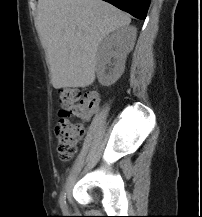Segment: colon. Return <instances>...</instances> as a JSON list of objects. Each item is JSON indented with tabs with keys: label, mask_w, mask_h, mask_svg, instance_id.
I'll return each instance as SVG.
<instances>
[{
	"label": "colon",
	"mask_w": 202,
	"mask_h": 217,
	"mask_svg": "<svg viewBox=\"0 0 202 217\" xmlns=\"http://www.w3.org/2000/svg\"><path fill=\"white\" fill-rule=\"evenodd\" d=\"M90 101V95L78 89L62 88L59 90V119L55 126L57 150L63 161L73 158L78 142L83 138V125L72 120L73 109Z\"/></svg>",
	"instance_id": "colon-1"
}]
</instances>
